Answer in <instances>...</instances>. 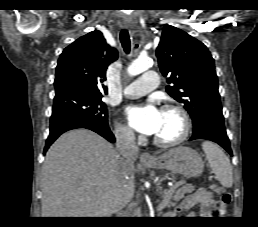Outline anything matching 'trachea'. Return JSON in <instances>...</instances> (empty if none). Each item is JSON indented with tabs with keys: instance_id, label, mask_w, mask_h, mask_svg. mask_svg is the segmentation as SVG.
Returning a JSON list of instances; mask_svg holds the SVG:
<instances>
[{
	"instance_id": "trachea-1",
	"label": "trachea",
	"mask_w": 258,
	"mask_h": 227,
	"mask_svg": "<svg viewBox=\"0 0 258 227\" xmlns=\"http://www.w3.org/2000/svg\"><path fill=\"white\" fill-rule=\"evenodd\" d=\"M120 41H121V44L123 46V49H124L125 53L129 54L131 43H130L129 33H128L127 30L123 29L121 31V33H120Z\"/></svg>"
}]
</instances>
